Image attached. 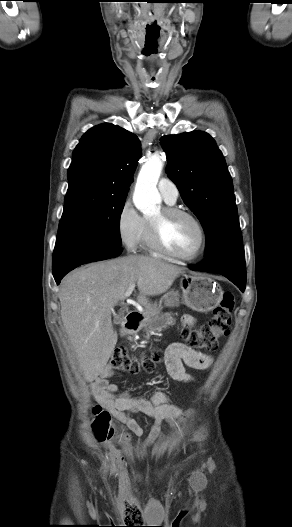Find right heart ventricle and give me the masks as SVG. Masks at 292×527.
<instances>
[{
	"mask_svg": "<svg viewBox=\"0 0 292 527\" xmlns=\"http://www.w3.org/2000/svg\"><path fill=\"white\" fill-rule=\"evenodd\" d=\"M169 206H172L174 203H169L165 201ZM140 246L144 250L153 251L154 248L152 247L150 237H149V229H148V220L144 219V226L140 237Z\"/></svg>",
	"mask_w": 292,
	"mask_h": 527,
	"instance_id": "1",
	"label": "right heart ventricle"
}]
</instances>
